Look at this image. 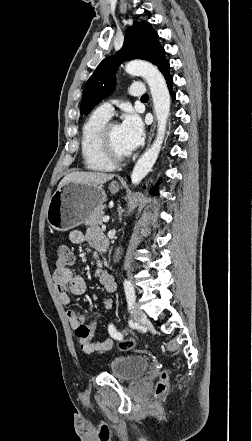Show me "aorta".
I'll list each match as a JSON object with an SVG mask.
<instances>
[{"mask_svg":"<svg viewBox=\"0 0 252 441\" xmlns=\"http://www.w3.org/2000/svg\"><path fill=\"white\" fill-rule=\"evenodd\" d=\"M125 71L131 75H140L146 80L157 117L156 139L139 158L131 174L132 184L138 185L152 169L160 153L170 113V94L163 75L154 65L145 61L133 60L126 64Z\"/></svg>","mask_w":252,"mask_h":441,"instance_id":"1","label":"aorta"}]
</instances>
